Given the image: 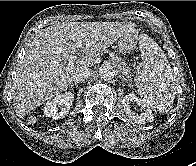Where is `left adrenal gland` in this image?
<instances>
[{
    "label": "left adrenal gland",
    "mask_w": 196,
    "mask_h": 166,
    "mask_svg": "<svg viewBox=\"0 0 196 166\" xmlns=\"http://www.w3.org/2000/svg\"><path fill=\"white\" fill-rule=\"evenodd\" d=\"M120 78H122V79H123V80H125V81L127 80V79H126V78H124L123 76H120Z\"/></svg>",
    "instance_id": "obj_1"
}]
</instances>
